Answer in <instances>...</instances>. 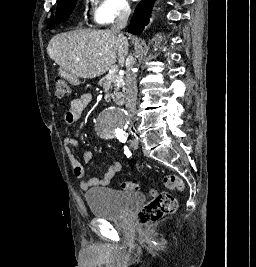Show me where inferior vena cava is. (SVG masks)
I'll list each match as a JSON object with an SVG mask.
<instances>
[{"label":"inferior vena cava","instance_id":"1","mask_svg":"<svg viewBox=\"0 0 256 267\" xmlns=\"http://www.w3.org/2000/svg\"><path fill=\"white\" fill-rule=\"evenodd\" d=\"M131 14V10L129 6H121V10L119 14H117V18L111 28L112 32H116L119 38L122 40H127L123 34H120V30L126 28L128 18ZM134 64L135 62H130L129 66H127V70L125 72V84H126V98H125V106L126 112L128 116V120L131 124H133L134 116L136 114V100H137V84H136V72H134Z\"/></svg>","mask_w":256,"mask_h":267}]
</instances>
